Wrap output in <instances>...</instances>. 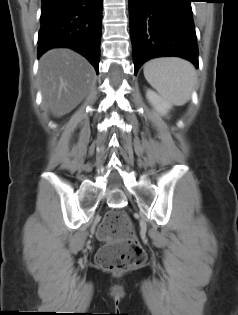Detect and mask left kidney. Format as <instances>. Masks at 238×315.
Here are the masks:
<instances>
[{"instance_id": "left-kidney-1", "label": "left kidney", "mask_w": 238, "mask_h": 315, "mask_svg": "<svg viewBox=\"0 0 238 315\" xmlns=\"http://www.w3.org/2000/svg\"><path fill=\"white\" fill-rule=\"evenodd\" d=\"M146 97L154 110L160 115L165 116L172 108V105L165 101L161 96L152 90H147Z\"/></svg>"}]
</instances>
